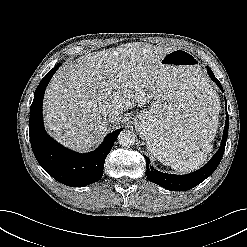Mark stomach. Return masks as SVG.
<instances>
[{"label":"stomach","mask_w":247,"mask_h":247,"mask_svg":"<svg viewBox=\"0 0 247 247\" xmlns=\"http://www.w3.org/2000/svg\"><path fill=\"white\" fill-rule=\"evenodd\" d=\"M159 66L164 70L163 85L156 90L150 108L136 116L135 127L148 151L170 165L212 140L219 99L192 53L174 49Z\"/></svg>","instance_id":"1"}]
</instances>
